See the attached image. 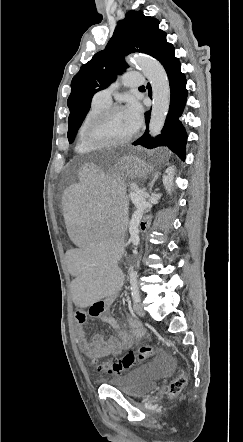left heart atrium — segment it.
Wrapping results in <instances>:
<instances>
[{
  "instance_id": "left-heart-atrium-1",
  "label": "left heart atrium",
  "mask_w": 243,
  "mask_h": 442,
  "mask_svg": "<svg viewBox=\"0 0 243 442\" xmlns=\"http://www.w3.org/2000/svg\"><path fill=\"white\" fill-rule=\"evenodd\" d=\"M124 111L132 128L134 131H136L142 122V110L140 105L137 102L132 101L129 103L126 109H124Z\"/></svg>"
}]
</instances>
